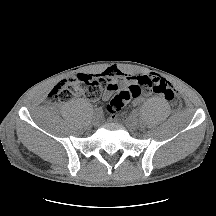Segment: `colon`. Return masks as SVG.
I'll return each mask as SVG.
<instances>
[{
  "mask_svg": "<svg viewBox=\"0 0 216 216\" xmlns=\"http://www.w3.org/2000/svg\"><path fill=\"white\" fill-rule=\"evenodd\" d=\"M106 85L105 79L100 76L76 74L59 82L50 92V96L59 102H66L73 95H83L89 100H97L103 94ZM142 92H153L170 102L173 107L179 106L176 90L171 83L159 76H144L138 84L119 91L108 103L107 112L115 115Z\"/></svg>",
  "mask_w": 216,
  "mask_h": 216,
  "instance_id": "colon-1",
  "label": "colon"
}]
</instances>
